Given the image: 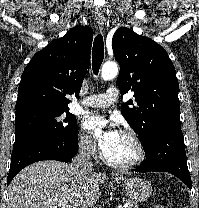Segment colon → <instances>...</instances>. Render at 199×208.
Returning <instances> with one entry per match:
<instances>
[{"label":"colon","instance_id":"5ec220e1","mask_svg":"<svg viewBox=\"0 0 199 208\" xmlns=\"http://www.w3.org/2000/svg\"><path fill=\"white\" fill-rule=\"evenodd\" d=\"M156 208H167V207L164 205H158Z\"/></svg>","mask_w":199,"mask_h":208}]
</instances>
